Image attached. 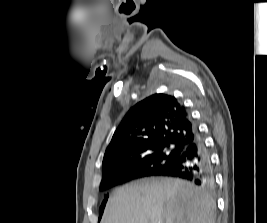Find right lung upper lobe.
<instances>
[{
	"instance_id": "right-lung-upper-lobe-1",
	"label": "right lung upper lobe",
	"mask_w": 267,
	"mask_h": 223,
	"mask_svg": "<svg viewBox=\"0 0 267 223\" xmlns=\"http://www.w3.org/2000/svg\"><path fill=\"white\" fill-rule=\"evenodd\" d=\"M197 137L186 108L174 96L155 94L132 107L106 149L100 186L113 176L137 171V163L163 147L182 151Z\"/></svg>"
}]
</instances>
